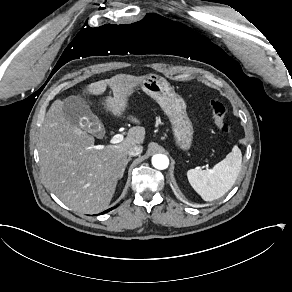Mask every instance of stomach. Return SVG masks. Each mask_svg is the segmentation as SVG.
<instances>
[{
    "instance_id": "0dacf381",
    "label": "stomach",
    "mask_w": 292,
    "mask_h": 292,
    "mask_svg": "<svg viewBox=\"0 0 292 292\" xmlns=\"http://www.w3.org/2000/svg\"><path fill=\"white\" fill-rule=\"evenodd\" d=\"M139 85L147 95L156 100L168 116L176 145L182 150H188L192 142L193 127L187 116L186 103L183 98L174 92L166 79L157 74L143 76ZM133 92L134 88L131 90L130 95Z\"/></svg>"
}]
</instances>
